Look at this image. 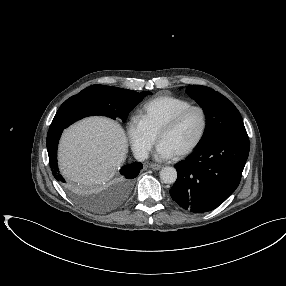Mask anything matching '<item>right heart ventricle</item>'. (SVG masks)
Returning a JSON list of instances; mask_svg holds the SVG:
<instances>
[{"instance_id":"1","label":"right heart ventricle","mask_w":286,"mask_h":286,"mask_svg":"<svg viewBox=\"0 0 286 286\" xmlns=\"http://www.w3.org/2000/svg\"><path fill=\"white\" fill-rule=\"evenodd\" d=\"M192 105L184 98L163 95L146 101L140 110V116L155 134L160 127L180 110Z\"/></svg>"}]
</instances>
